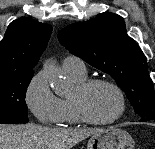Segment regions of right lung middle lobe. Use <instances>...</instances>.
I'll list each match as a JSON object with an SVG mask.
<instances>
[{"instance_id": "right-lung-middle-lobe-1", "label": "right lung middle lobe", "mask_w": 155, "mask_h": 149, "mask_svg": "<svg viewBox=\"0 0 155 149\" xmlns=\"http://www.w3.org/2000/svg\"><path fill=\"white\" fill-rule=\"evenodd\" d=\"M34 72L0 77V123L28 122L26 90Z\"/></svg>"}]
</instances>
